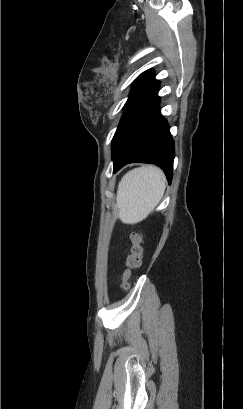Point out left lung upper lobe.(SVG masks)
<instances>
[{"label": "left lung upper lobe", "instance_id": "1", "mask_svg": "<svg viewBox=\"0 0 243 409\" xmlns=\"http://www.w3.org/2000/svg\"><path fill=\"white\" fill-rule=\"evenodd\" d=\"M154 77L152 70H147L140 74L134 81L129 98L124 105L123 109L126 110L127 107L133 102V100L138 96V94L143 90L146 84ZM118 154V145L115 140V137L112 139V158L113 161L116 159Z\"/></svg>", "mask_w": 243, "mask_h": 409}]
</instances>
